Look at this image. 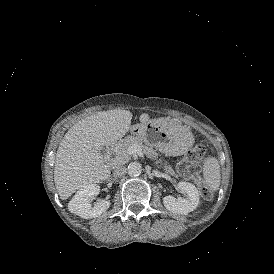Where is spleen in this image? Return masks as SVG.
<instances>
[{
    "instance_id": "obj_1",
    "label": "spleen",
    "mask_w": 274,
    "mask_h": 274,
    "mask_svg": "<svg viewBox=\"0 0 274 274\" xmlns=\"http://www.w3.org/2000/svg\"><path fill=\"white\" fill-rule=\"evenodd\" d=\"M204 173L206 175V185L210 189H216L220 184V167L215 159H209L204 163Z\"/></svg>"
}]
</instances>
